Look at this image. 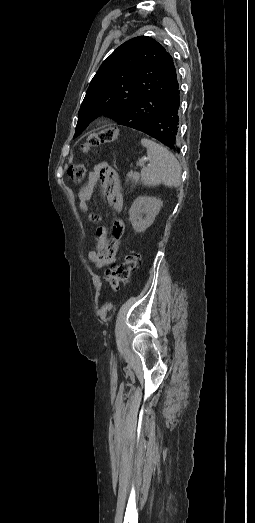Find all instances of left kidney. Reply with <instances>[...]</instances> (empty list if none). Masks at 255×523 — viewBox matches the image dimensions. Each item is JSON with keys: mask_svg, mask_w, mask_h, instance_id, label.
Listing matches in <instances>:
<instances>
[{"mask_svg": "<svg viewBox=\"0 0 255 523\" xmlns=\"http://www.w3.org/2000/svg\"><path fill=\"white\" fill-rule=\"evenodd\" d=\"M162 206L163 202L157 198H149V196L136 198L129 210L130 222L135 232H145L146 228L153 224ZM141 214H145V218Z\"/></svg>", "mask_w": 255, "mask_h": 523, "instance_id": "1", "label": "left kidney"}]
</instances>
